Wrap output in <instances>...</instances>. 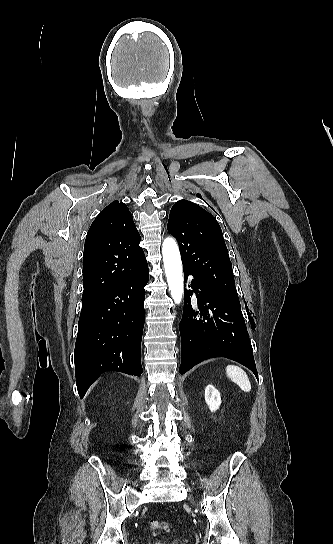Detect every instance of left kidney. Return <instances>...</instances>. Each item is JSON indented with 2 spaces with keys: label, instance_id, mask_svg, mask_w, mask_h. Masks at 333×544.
<instances>
[{
  "label": "left kidney",
  "instance_id": "5707ae66",
  "mask_svg": "<svg viewBox=\"0 0 333 544\" xmlns=\"http://www.w3.org/2000/svg\"><path fill=\"white\" fill-rule=\"evenodd\" d=\"M205 401L210 411L215 412L221 404L220 392L214 386L208 385L205 388Z\"/></svg>",
  "mask_w": 333,
  "mask_h": 544
}]
</instances>
